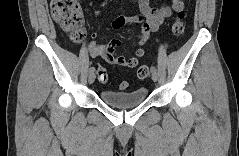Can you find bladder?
<instances>
[{
  "label": "bladder",
  "instance_id": "1",
  "mask_svg": "<svg viewBox=\"0 0 239 156\" xmlns=\"http://www.w3.org/2000/svg\"><path fill=\"white\" fill-rule=\"evenodd\" d=\"M148 96L145 87H139L132 91L120 92L114 90H102L100 99L107 105L116 109H131L143 103Z\"/></svg>",
  "mask_w": 239,
  "mask_h": 156
}]
</instances>
